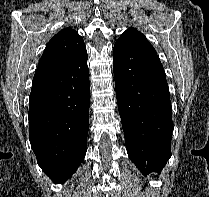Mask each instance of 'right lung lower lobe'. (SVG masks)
Here are the masks:
<instances>
[{
    "label": "right lung lower lobe",
    "instance_id": "obj_1",
    "mask_svg": "<svg viewBox=\"0 0 209 197\" xmlns=\"http://www.w3.org/2000/svg\"><path fill=\"white\" fill-rule=\"evenodd\" d=\"M87 52L62 70L33 81L29 139L38 165L54 183H63L87 150L90 103Z\"/></svg>",
    "mask_w": 209,
    "mask_h": 197
}]
</instances>
